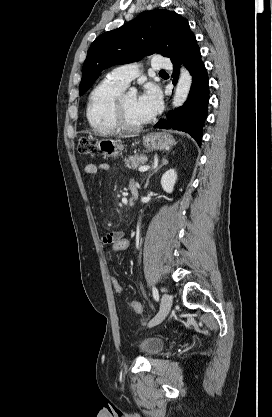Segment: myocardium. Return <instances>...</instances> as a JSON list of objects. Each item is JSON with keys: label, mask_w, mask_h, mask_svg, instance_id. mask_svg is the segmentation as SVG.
Listing matches in <instances>:
<instances>
[{"label": "myocardium", "mask_w": 272, "mask_h": 417, "mask_svg": "<svg viewBox=\"0 0 272 417\" xmlns=\"http://www.w3.org/2000/svg\"><path fill=\"white\" fill-rule=\"evenodd\" d=\"M126 94H121L114 105V110H113V118H114V122L116 124V126L118 127V129L123 130V131H137L142 129L143 127H145L147 124L150 123V120L148 119L147 121L143 122V123H139V124H133L130 123L126 116H125V111H124V98H125Z\"/></svg>", "instance_id": "myocardium-1"}]
</instances>
